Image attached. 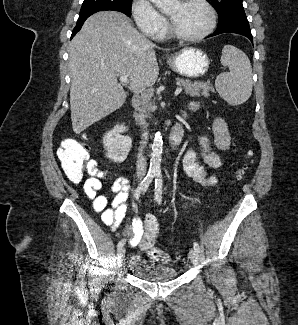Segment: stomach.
<instances>
[{
    "mask_svg": "<svg viewBox=\"0 0 298 325\" xmlns=\"http://www.w3.org/2000/svg\"><path fill=\"white\" fill-rule=\"evenodd\" d=\"M167 64L171 70L187 76V78H197L206 74L210 66V58L202 48L196 46H184L178 52H174L167 58Z\"/></svg>",
    "mask_w": 298,
    "mask_h": 325,
    "instance_id": "1",
    "label": "stomach"
}]
</instances>
